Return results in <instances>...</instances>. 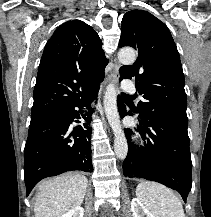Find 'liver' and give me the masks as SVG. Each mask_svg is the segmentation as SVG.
<instances>
[{
	"instance_id": "6515ba94",
	"label": "liver",
	"mask_w": 211,
	"mask_h": 217,
	"mask_svg": "<svg viewBox=\"0 0 211 217\" xmlns=\"http://www.w3.org/2000/svg\"><path fill=\"white\" fill-rule=\"evenodd\" d=\"M88 180L79 173L66 174L38 184L35 217H62L82 204Z\"/></svg>"
}]
</instances>
